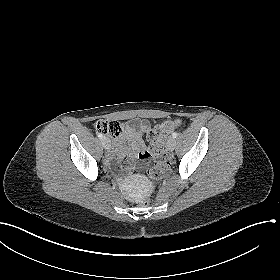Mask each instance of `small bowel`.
I'll list each match as a JSON object with an SVG mask.
<instances>
[{
  "label": "small bowel",
  "instance_id": "1",
  "mask_svg": "<svg viewBox=\"0 0 280 280\" xmlns=\"http://www.w3.org/2000/svg\"><path fill=\"white\" fill-rule=\"evenodd\" d=\"M150 128V124L144 119H135L128 122L122 128V134L113 141V148L107 153V161L110 163L117 159L123 163L137 166L146 165L150 158L143 134ZM125 138L130 139V146L125 145Z\"/></svg>",
  "mask_w": 280,
  "mask_h": 280
}]
</instances>
